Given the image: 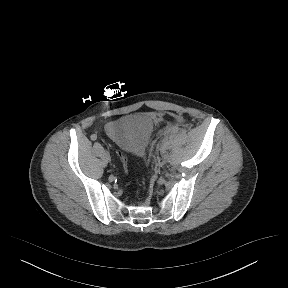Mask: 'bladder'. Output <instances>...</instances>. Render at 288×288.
Segmentation results:
<instances>
[{"label": "bladder", "instance_id": "1", "mask_svg": "<svg viewBox=\"0 0 288 288\" xmlns=\"http://www.w3.org/2000/svg\"><path fill=\"white\" fill-rule=\"evenodd\" d=\"M154 119L147 114L125 116L107 125L106 134L134 155L141 154L154 130Z\"/></svg>", "mask_w": 288, "mask_h": 288}]
</instances>
